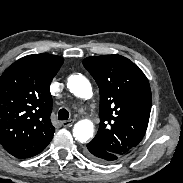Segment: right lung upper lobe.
<instances>
[{
    "label": "right lung upper lobe",
    "mask_w": 183,
    "mask_h": 183,
    "mask_svg": "<svg viewBox=\"0 0 183 183\" xmlns=\"http://www.w3.org/2000/svg\"><path fill=\"white\" fill-rule=\"evenodd\" d=\"M63 61L56 55H28L0 77V143L11 155L35 156L52 140L50 83Z\"/></svg>",
    "instance_id": "right-lung-upper-lobe-1"
}]
</instances>
